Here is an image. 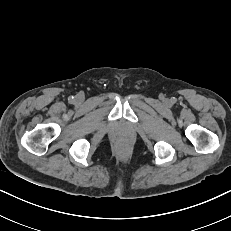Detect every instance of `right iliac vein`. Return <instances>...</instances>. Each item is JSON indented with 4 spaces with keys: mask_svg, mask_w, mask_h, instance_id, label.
Returning <instances> with one entry per match:
<instances>
[{
    "mask_svg": "<svg viewBox=\"0 0 231 231\" xmlns=\"http://www.w3.org/2000/svg\"><path fill=\"white\" fill-rule=\"evenodd\" d=\"M76 99H77V101L81 102V101L84 100V97H83V95H78V96L76 97Z\"/></svg>",
    "mask_w": 231,
    "mask_h": 231,
    "instance_id": "63e3f726",
    "label": "right iliac vein"
}]
</instances>
